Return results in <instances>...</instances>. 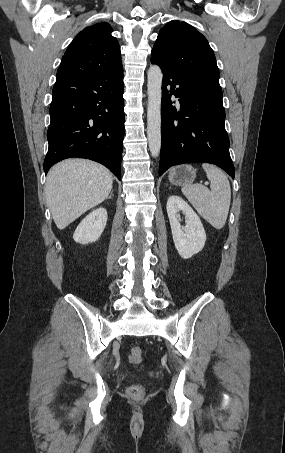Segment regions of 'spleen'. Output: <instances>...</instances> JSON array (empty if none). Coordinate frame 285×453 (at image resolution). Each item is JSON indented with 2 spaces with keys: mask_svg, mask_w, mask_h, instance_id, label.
Instances as JSON below:
<instances>
[{
  "mask_svg": "<svg viewBox=\"0 0 285 453\" xmlns=\"http://www.w3.org/2000/svg\"><path fill=\"white\" fill-rule=\"evenodd\" d=\"M202 167L211 190L201 184L185 185L181 190L200 216L219 230L224 227L230 208V183L226 174L216 166L203 164Z\"/></svg>",
  "mask_w": 285,
  "mask_h": 453,
  "instance_id": "obj_1",
  "label": "spleen"
}]
</instances>
